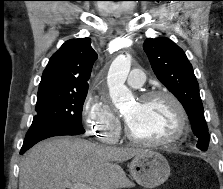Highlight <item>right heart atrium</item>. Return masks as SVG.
<instances>
[{
  "label": "right heart atrium",
  "mask_w": 223,
  "mask_h": 189,
  "mask_svg": "<svg viewBox=\"0 0 223 189\" xmlns=\"http://www.w3.org/2000/svg\"><path fill=\"white\" fill-rule=\"evenodd\" d=\"M84 122L94 137L114 142L120 129V120L109 103L96 95H89L83 105Z\"/></svg>",
  "instance_id": "d8ad5b80"
}]
</instances>
